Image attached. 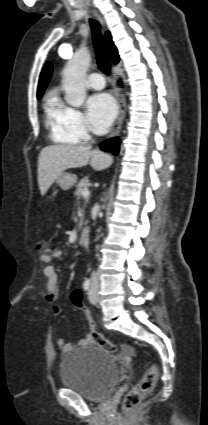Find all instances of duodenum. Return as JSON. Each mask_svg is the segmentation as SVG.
Masks as SVG:
<instances>
[{
    "label": "duodenum",
    "instance_id": "410a0bca",
    "mask_svg": "<svg viewBox=\"0 0 208 425\" xmlns=\"http://www.w3.org/2000/svg\"><path fill=\"white\" fill-rule=\"evenodd\" d=\"M79 242L82 246L87 247L89 245V233L84 231L81 233Z\"/></svg>",
    "mask_w": 208,
    "mask_h": 425
}]
</instances>
